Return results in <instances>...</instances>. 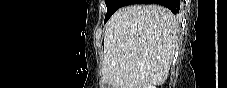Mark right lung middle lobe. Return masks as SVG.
Wrapping results in <instances>:
<instances>
[{
  "label": "right lung middle lobe",
  "instance_id": "1",
  "mask_svg": "<svg viewBox=\"0 0 227 88\" xmlns=\"http://www.w3.org/2000/svg\"><path fill=\"white\" fill-rule=\"evenodd\" d=\"M129 0H106L107 13L105 15L104 23H106L112 14L122 6L127 5Z\"/></svg>",
  "mask_w": 227,
  "mask_h": 88
}]
</instances>
